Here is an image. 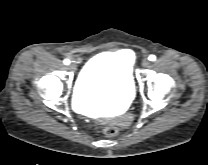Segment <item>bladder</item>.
I'll use <instances>...</instances> for the list:
<instances>
[{
  "mask_svg": "<svg viewBox=\"0 0 208 165\" xmlns=\"http://www.w3.org/2000/svg\"><path fill=\"white\" fill-rule=\"evenodd\" d=\"M133 94L130 67L120 52L100 53L91 58L80 72L74 90L75 102L80 106L118 108L128 103Z\"/></svg>",
  "mask_w": 208,
  "mask_h": 165,
  "instance_id": "bladder-1",
  "label": "bladder"
}]
</instances>
